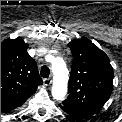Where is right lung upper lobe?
I'll list each match as a JSON object with an SVG mask.
<instances>
[{
  "label": "right lung upper lobe",
  "mask_w": 122,
  "mask_h": 122,
  "mask_svg": "<svg viewBox=\"0 0 122 122\" xmlns=\"http://www.w3.org/2000/svg\"><path fill=\"white\" fill-rule=\"evenodd\" d=\"M22 39L1 43V112L20 107L43 81Z\"/></svg>",
  "instance_id": "right-lung-upper-lobe-1"
}]
</instances>
